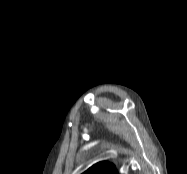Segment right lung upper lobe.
<instances>
[{
    "mask_svg": "<svg viewBox=\"0 0 187 174\" xmlns=\"http://www.w3.org/2000/svg\"><path fill=\"white\" fill-rule=\"evenodd\" d=\"M83 174H118V172L112 163L104 161L93 165Z\"/></svg>",
    "mask_w": 187,
    "mask_h": 174,
    "instance_id": "1",
    "label": "right lung upper lobe"
}]
</instances>
